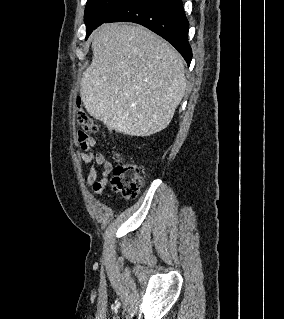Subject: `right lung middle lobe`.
<instances>
[{
  "mask_svg": "<svg viewBox=\"0 0 284 319\" xmlns=\"http://www.w3.org/2000/svg\"><path fill=\"white\" fill-rule=\"evenodd\" d=\"M132 1L133 0H88L84 15L86 38L94 29L102 23H105L113 14Z\"/></svg>",
  "mask_w": 284,
  "mask_h": 319,
  "instance_id": "right-lung-middle-lobe-1",
  "label": "right lung middle lobe"
}]
</instances>
